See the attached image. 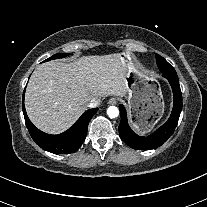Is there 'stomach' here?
<instances>
[{
  "instance_id": "stomach-1",
  "label": "stomach",
  "mask_w": 207,
  "mask_h": 207,
  "mask_svg": "<svg viewBox=\"0 0 207 207\" xmlns=\"http://www.w3.org/2000/svg\"><path fill=\"white\" fill-rule=\"evenodd\" d=\"M120 57L126 69L127 107L134 116L133 124L140 132L150 131L164 112L163 94L160 86L146 74L135 72L128 52Z\"/></svg>"
}]
</instances>
